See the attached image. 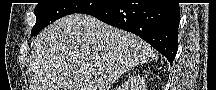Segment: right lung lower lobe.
<instances>
[{
	"label": "right lung lower lobe",
	"mask_w": 216,
	"mask_h": 90,
	"mask_svg": "<svg viewBox=\"0 0 216 90\" xmlns=\"http://www.w3.org/2000/svg\"><path fill=\"white\" fill-rule=\"evenodd\" d=\"M86 14L138 35L172 64L178 50V3H112Z\"/></svg>",
	"instance_id": "98d812e1"
}]
</instances>
